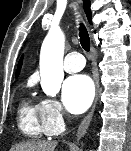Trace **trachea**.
I'll list each match as a JSON object with an SVG mask.
<instances>
[{
    "label": "trachea",
    "instance_id": "trachea-1",
    "mask_svg": "<svg viewBox=\"0 0 131 151\" xmlns=\"http://www.w3.org/2000/svg\"><path fill=\"white\" fill-rule=\"evenodd\" d=\"M79 36L82 48L89 52L90 50V38L86 27L83 24H80L79 27Z\"/></svg>",
    "mask_w": 131,
    "mask_h": 151
}]
</instances>
